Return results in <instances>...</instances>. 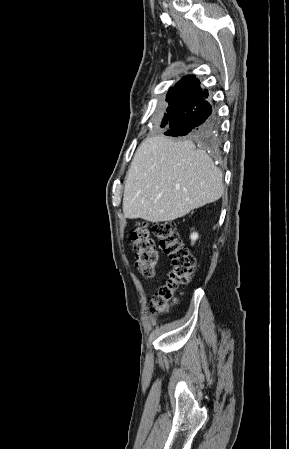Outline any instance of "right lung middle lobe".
I'll return each instance as SVG.
<instances>
[{"mask_svg": "<svg viewBox=\"0 0 289 449\" xmlns=\"http://www.w3.org/2000/svg\"><path fill=\"white\" fill-rule=\"evenodd\" d=\"M166 100H167V102H168V98H167ZM170 118H171V110H170V106H169V108L167 109V114L165 115V117H164V119H163V123H162V127L165 126L164 131H165V130L167 129V127H168V123H169Z\"/></svg>", "mask_w": 289, "mask_h": 449, "instance_id": "1", "label": "right lung middle lobe"}]
</instances>
